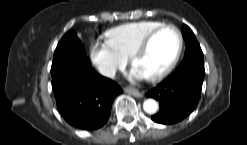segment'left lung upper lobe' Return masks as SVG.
<instances>
[{
    "instance_id": "5c2ea615",
    "label": "left lung upper lobe",
    "mask_w": 247,
    "mask_h": 145,
    "mask_svg": "<svg viewBox=\"0 0 247 145\" xmlns=\"http://www.w3.org/2000/svg\"><path fill=\"white\" fill-rule=\"evenodd\" d=\"M183 38L186 41V50L184 58L191 56H201L203 57V52L200 48V45L191 31V29L187 25H183L182 28Z\"/></svg>"
}]
</instances>
